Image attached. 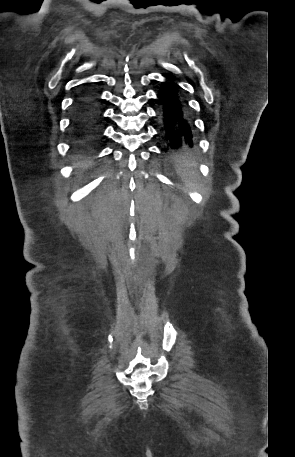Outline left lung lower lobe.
<instances>
[{
    "label": "left lung lower lobe",
    "mask_w": 295,
    "mask_h": 457,
    "mask_svg": "<svg viewBox=\"0 0 295 457\" xmlns=\"http://www.w3.org/2000/svg\"><path fill=\"white\" fill-rule=\"evenodd\" d=\"M157 97L160 105V131L165 142L163 151L183 146L193 147V125L178 87L166 80L162 83Z\"/></svg>",
    "instance_id": "obj_1"
}]
</instances>
